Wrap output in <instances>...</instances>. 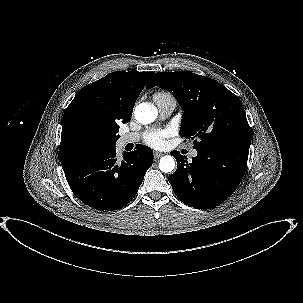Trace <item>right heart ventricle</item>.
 <instances>
[{"instance_id": "e07e8e85", "label": "right heart ventricle", "mask_w": 303, "mask_h": 303, "mask_svg": "<svg viewBox=\"0 0 303 303\" xmlns=\"http://www.w3.org/2000/svg\"><path fill=\"white\" fill-rule=\"evenodd\" d=\"M154 100L156 103L163 101H175L173 96L167 92H157L154 94Z\"/></svg>"}]
</instances>
